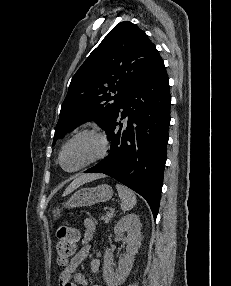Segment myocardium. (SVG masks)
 I'll return each mask as SVG.
<instances>
[{"label": "myocardium", "instance_id": "1", "mask_svg": "<svg viewBox=\"0 0 231 286\" xmlns=\"http://www.w3.org/2000/svg\"><path fill=\"white\" fill-rule=\"evenodd\" d=\"M85 135H89V136H93L98 140L99 143V151L98 153L92 157L91 159H89L87 162L83 163L82 165L78 166L77 168L68 170L65 169L63 167L62 164V158H63V154L66 150V148L69 146V144H71L74 140L85 136ZM109 151V142H108V138L106 136V134L104 132H102L101 130L97 129V128H92V127H87V128H82L78 131H76L75 133H73L62 145L61 150L59 152V156H58V163L60 165V167L65 170L66 172L69 173H75V172H79L89 166H91L94 163H97L101 160H103Z\"/></svg>", "mask_w": 231, "mask_h": 286}]
</instances>
